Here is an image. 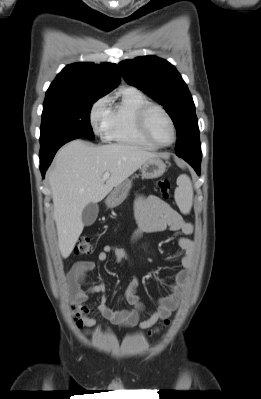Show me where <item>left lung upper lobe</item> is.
<instances>
[{
	"mask_svg": "<svg viewBox=\"0 0 261 399\" xmlns=\"http://www.w3.org/2000/svg\"><path fill=\"white\" fill-rule=\"evenodd\" d=\"M118 67L128 83L167 109L177 130V156L202 157L195 105L186 83L175 67L156 56L125 60Z\"/></svg>",
	"mask_w": 261,
	"mask_h": 399,
	"instance_id": "1",
	"label": "left lung upper lobe"
}]
</instances>
